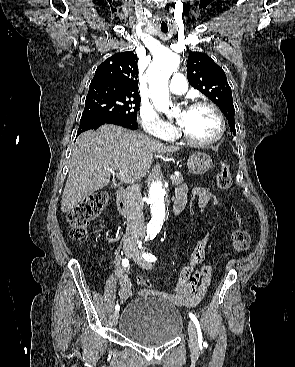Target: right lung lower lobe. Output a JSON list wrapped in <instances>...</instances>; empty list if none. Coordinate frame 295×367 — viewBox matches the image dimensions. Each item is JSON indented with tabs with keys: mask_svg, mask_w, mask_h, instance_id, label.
I'll use <instances>...</instances> for the list:
<instances>
[{
	"mask_svg": "<svg viewBox=\"0 0 295 367\" xmlns=\"http://www.w3.org/2000/svg\"><path fill=\"white\" fill-rule=\"evenodd\" d=\"M103 124L119 125L124 128L132 129V130H136L138 128V124L136 120H132V119L116 118V119H110V120H98V121H91V122L80 124L77 135H79L80 133L86 130L97 129L99 126Z\"/></svg>",
	"mask_w": 295,
	"mask_h": 367,
	"instance_id": "right-lung-lower-lobe-1",
	"label": "right lung lower lobe"
}]
</instances>
